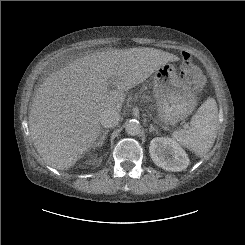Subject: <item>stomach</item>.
Masks as SVG:
<instances>
[{
  "label": "stomach",
  "instance_id": "1",
  "mask_svg": "<svg viewBox=\"0 0 245 245\" xmlns=\"http://www.w3.org/2000/svg\"><path fill=\"white\" fill-rule=\"evenodd\" d=\"M153 92L157 113L165 125H174L188 117L197 105L190 87L172 64L159 67L153 75Z\"/></svg>",
  "mask_w": 245,
  "mask_h": 245
}]
</instances>
